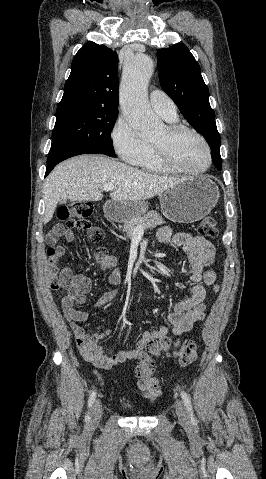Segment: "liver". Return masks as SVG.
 Instances as JSON below:
<instances>
[{"mask_svg": "<svg viewBox=\"0 0 266 479\" xmlns=\"http://www.w3.org/2000/svg\"><path fill=\"white\" fill-rule=\"evenodd\" d=\"M188 179L151 174L102 155L76 156L55 167L45 180L43 223L52 219L60 199L99 201L106 184L115 187L110 193L112 201L137 202L160 195Z\"/></svg>", "mask_w": 266, "mask_h": 479, "instance_id": "obj_1", "label": "liver"}]
</instances>
